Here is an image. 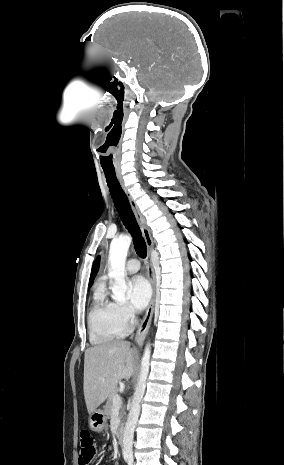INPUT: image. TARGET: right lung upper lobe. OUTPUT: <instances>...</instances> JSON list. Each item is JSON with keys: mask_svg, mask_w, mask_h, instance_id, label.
Segmentation results:
<instances>
[{"mask_svg": "<svg viewBox=\"0 0 284 465\" xmlns=\"http://www.w3.org/2000/svg\"><path fill=\"white\" fill-rule=\"evenodd\" d=\"M99 262H100V258L98 257V258L95 260V262H94V264H93V267H92L91 276H90V280H89V286L92 285L93 280H94V278H95V276H96V273H97V271H98V269H99Z\"/></svg>", "mask_w": 284, "mask_h": 465, "instance_id": "cb5924a9", "label": "right lung upper lobe"}]
</instances>
